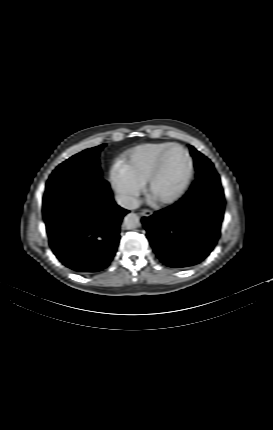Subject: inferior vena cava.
I'll list each match as a JSON object with an SVG mask.
<instances>
[{"label": "inferior vena cava", "instance_id": "1", "mask_svg": "<svg viewBox=\"0 0 273 430\" xmlns=\"http://www.w3.org/2000/svg\"><path fill=\"white\" fill-rule=\"evenodd\" d=\"M115 199L118 205H120L125 209L133 210L139 207L138 200L133 197L125 196V195H117Z\"/></svg>", "mask_w": 273, "mask_h": 430}]
</instances>
